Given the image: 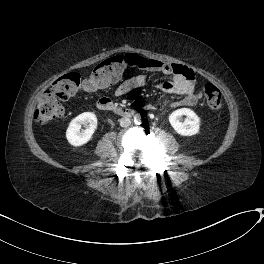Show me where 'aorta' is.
<instances>
[{"label": "aorta", "mask_w": 264, "mask_h": 264, "mask_svg": "<svg viewBox=\"0 0 264 264\" xmlns=\"http://www.w3.org/2000/svg\"><path fill=\"white\" fill-rule=\"evenodd\" d=\"M134 122H135L136 124H140V123L142 122V116H141L140 114H136V115L134 116Z\"/></svg>", "instance_id": "obj_1"}]
</instances>
